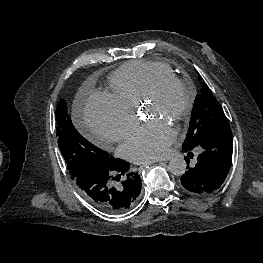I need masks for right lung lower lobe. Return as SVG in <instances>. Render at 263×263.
<instances>
[{"label": "right lung lower lobe", "mask_w": 263, "mask_h": 263, "mask_svg": "<svg viewBox=\"0 0 263 263\" xmlns=\"http://www.w3.org/2000/svg\"><path fill=\"white\" fill-rule=\"evenodd\" d=\"M129 168L128 162L111 156L107 164L85 169L73 180L89 203L112 213L113 209L132 207L141 192V179ZM121 175H125L124 179L116 183Z\"/></svg>", "instance_id": "obj_1"}]
</instances>
